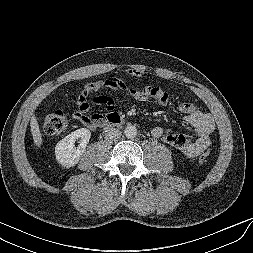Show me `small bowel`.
<instances>
[{
	"label": "small bowel",
	"instance_id": "small-bowel-1",
	"mask_svg": "<svg viewBox=\"0 0 253 253\" xmlns=\"http://www.w3.org/2000/svg\"><path fill=\"white\" fill-rule=\"evenodd\" d=\"M127 74L131 77H140L143 72L139 69H129ZM102 89L123 92L139 102L155 101L160 105H166L170 100V94L160 87L147 86L138 89L114 77L88 83L78 96V110L74 113V118L91 130L103 125L106 121L101 114L90 112L92 105L104 107L108 114L107 118L114 113L115 102L112 98L95 96L92 101L90 100L93 93ZM178 110L185 115V122L193 127L191 134H165L162 127L156 126L151 130V135L177 149L184 157L192 159L209 147L210 136L215 130V122L211 115L203 113L191 102H179Z\"/></svg>",
	"mask_w": 253,
	"mask_h": 253
}]
</instances>
